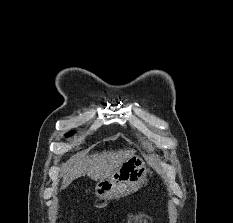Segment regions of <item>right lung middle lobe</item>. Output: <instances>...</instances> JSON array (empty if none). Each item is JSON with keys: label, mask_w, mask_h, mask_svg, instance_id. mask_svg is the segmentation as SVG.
I'll return each mask as SVG.
<instances>
[{"label": "right lung middle lobe", "mask_w": 233, "mask_h": 223, "mask_svg": "<svg viewBox=\"0 0 233 223\" xmlns=\"http://www.w3.org/2000/svg\"><path fill=\"white\" fill-rule=\"evenodd\" d=\"M73 134H74V132L71 131V132H69V133L66 134V137H69V136H71V135H73Z\"/></svg>", "instance_id": "right-lung-middle-lobe-1"}]
</instances>
